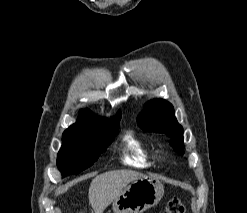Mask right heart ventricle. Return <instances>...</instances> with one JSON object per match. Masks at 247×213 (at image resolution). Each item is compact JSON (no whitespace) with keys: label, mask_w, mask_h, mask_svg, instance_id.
<instances>
[{"label":"right heart ventricle","mask_w":247,"mask_h":213,"mask_svg":"<svg viewBox=\"0 0 247 213\" xmlns=\"http://www.w3.org/2000/svg\"><path fill=\"white\" fill-rule=\"evenodd\" d=\"M123 162L135 168H149L155 164L156 156L142 138L128 132L123 136Z\"/></svg>","instance_id":"obj_1"}]
</instances>
